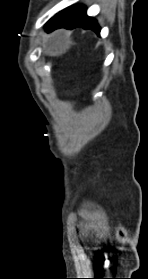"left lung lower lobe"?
<instances>
[{"instance_id": "1", "label": "left lung lower lobe", "mask_w": 148, "mask_h": 279, "mask_svg": "<svg viewBox=\"0 0 148 279\" xmlns=\"http://www.w3.org/2000/svg\"><path fill=\"white\" fill-rule=\"evenodd\" d=\"M77 27L91 29L96 34H100L97 21L86 15V8L83 5L71 6L60 11L47 22L45 30L52 32L59 28L74 29Z\"/></svg>"}]
</instances>
